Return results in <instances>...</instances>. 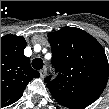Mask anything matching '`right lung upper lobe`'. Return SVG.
<instances>
[{"mask_svg": "<svg viewBox=\"0 0 109 109\" xmlns=\"http://www.w3.org/2000/svg\"><path fill=\"white\" fill-rule=\"evenodd\" d=\"M26 40L22 36L5 35L1 38V107L18 101L28 82L39 77L24 55Z\"/></svg>", "mask_w": 109, "mask_h": 109, "instance_id": "1", "label": "right lung upper lobe"}]
</instances>
